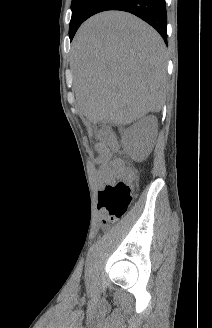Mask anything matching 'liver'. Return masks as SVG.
I'll list each match as a JSON object with an SVG mask.
<instances>
[{
  "mask_svg": "<svg viewBox=\"0 0 212 328\" xmlns=\"http://www.w3.org/2000/svg\"><path fill=\"white\" fill-rule=\"evenodd\" d=\"M77 108L90 122L127 125L164 104L166 48L147 23L106 11L85 21L72 45Z\"/></svg>",
  "mask_w": 212,
  "mask_h": 328,
  "instance_id": "6515ba94",
  "label": "liver"
}]
</instances>
